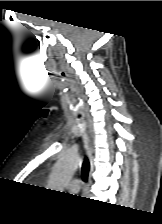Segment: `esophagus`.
<instances>
[{"label":"esophagus","mask_w":162,"mask_h":224,"mask_svg":"<svg viewBox=\"0 0 162 224\" xmlns=\"http://www.w3.org/2000/svg\"><path fill=\"white\" fill-rule=\"evenodd\" d=\"M89 150H90V173H92L94 169V157H95V134L91 120H89Z\"/></svg>","instance_id":"1"}]
</instances>
